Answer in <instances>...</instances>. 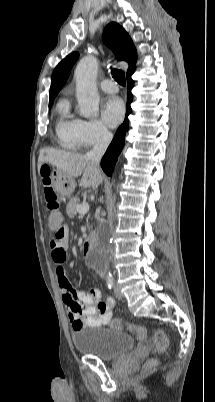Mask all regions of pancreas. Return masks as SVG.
<instances>
[{
  "mask_svg": "<svg viewBox=\"0 0 215 402\" xmlns=\"http://www.w3.org/2000/svg\"><path fill=\"white\" fill-rule=\"evenodd\" d=\"M80 204V200L73 197L69 200L66 206V213L69 217H74L77 213V206Z\"/></svg>",
  "mask_w": 215,
  "mask_h": 402,
  "instance_id": "pancreas-1",
  "label": "pancreas"
}]
</instances>
